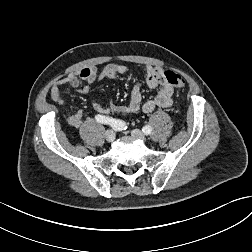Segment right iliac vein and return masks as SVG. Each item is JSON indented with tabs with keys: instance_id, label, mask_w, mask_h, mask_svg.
<instances>
[{
	"instance_id": "63e3f726",
	"label": "right iliac vein",
	"mask_w": 252,
	"mask_h": 252,
	"mask_svg": "<svg viewBox=\"0 0 252 252\" xmlns=\"http://www.w3.org/2000/svg\"><path fill=\"white\" fill-rule=\"evenodd\" d=\"M105 138L108 142H113L115 139V133L112 130H108L105 132Z\"/></svg>"
}]
</instances>
